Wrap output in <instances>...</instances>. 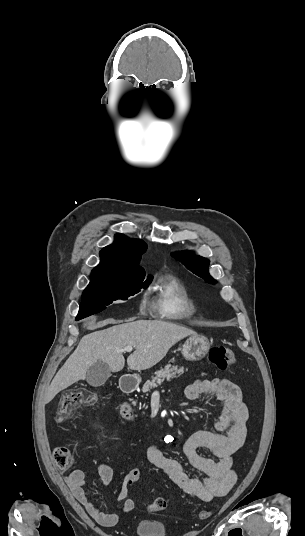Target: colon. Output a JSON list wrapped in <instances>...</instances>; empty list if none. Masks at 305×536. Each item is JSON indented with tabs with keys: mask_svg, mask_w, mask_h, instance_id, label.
<instances>
[{
	"mask_svg": "<svg viewBox=\"0 0 305 536\" xmlns=\"http://www.w3.org/2000/svg\"><path fill=\"white\" fill-rule=\"evenodd\" d=\"M234 360L233 351L226 345L214 346L209 351V361L220 369L227 368ZM97 399V394L92 391L84 389L65 391L60 398L57 408L58 421L62 422L70 419L79 406L94 405ZM53 459L61 471H76L77 469V462L76 460H71V454L65 445H58L54 448ZM138 474V469H131L130 474L126 477L129 486H134L140 480ZM166 508L167 502L161 498L153 500L149 505V509L154 512H161L166 510ZM210 516L211 512L207 510H202L198 513V518L201 520L208 519Z\"/></svg>",
	"mask_w": 305,
	"mask_h": 536,
	"instance_id": "5ec220e1",
	"label": "colon"
}]
</instances>
